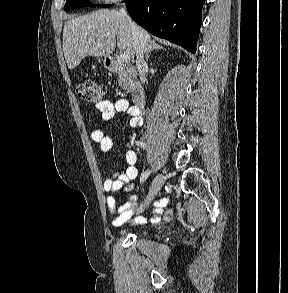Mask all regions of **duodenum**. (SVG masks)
Wrapping results in <instances>:
<instances>
[{"mask_svg": "<svg viewBox=\"0 0 288 293\" xmlns=\"http://www.w3.org/2000/svg\"><path fill=\"white\" fill-rule=\"evenodd\" d=\"M107 67L113 73H120L123 71L122 65L115 58L107 59ZM134 106L141 110L146 104V93L141 86H135L134 88Z\"/></svg>", "mask_w": 288, "mask_h": 293, "instance_id": "1", "label": "duodenum"}]
</instances>
